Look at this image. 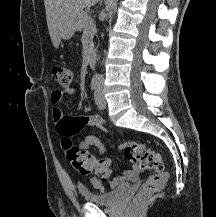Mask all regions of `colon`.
I'll return each mask as SVG.
<instances>
[{"instance_id":"obj_1","label":"colon","mask_w":216,"mask_h":217,"mask_svg":"<svg viewBox=\"0 0 216 217\" xmlns=\"http://www.w3.org/2000/svg\"><path fill=\"white\" fill-rule=\"evenodd\" d=\"M55 81L62 87L68 88L72 81V72L66 66H55L52 69ZM85 127L99 129L112 136V132L106 123L99 117L76 116L64 119L58 126V132L62 135V146L67 161L81 174L91 172L102 173L103 176L110 174V167L106 160L95 161L92 155L74 145L69 137L79 133ZM124 148L125 158L135 164L140 170H154L148 180L141 186L135 196V203L145 202L149 197L158 192L168 179V173L164 169L162 156L148 148L144 143L135 140H119Z\"/></svg>"}]
</instances>
